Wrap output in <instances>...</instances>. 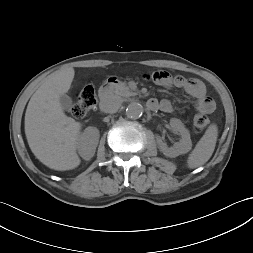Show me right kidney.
Instances as JSON below:
<instances>
[{
	"mask_svg": "<svg viewBox=\"0 0 253 253\" xmlns=\"http://www.w3.org/2000/svg\"><path fill=\"white\" fill-rule=\"evenodd\" d=\"M99 141V130L96 127H87L77 141L79 155L90 160L94 154Z\"/></svg>",
	"mask_w": 253,
	"mask_h": 253,
	"instance_id": "1",
	"label": "right kidney"
}]
</instances>
